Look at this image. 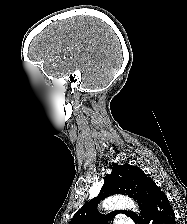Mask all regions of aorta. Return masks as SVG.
I'll list each match as a JSON object with an SVG mask.
<instances>
[{
    "mask_svg": "<svg viewBox=\"0 0 187 224\" xmlns=\"http://www.w3.org/2000/svg\"><path fill=\"white\" fill-rule=\"evenodd\" d=\"M104 210H116V209H129L135 212L138 211V207L134 201L127 196H113L105 199L101 204Z\"/></svg>",
    "mask_w": 187,
    "mask_h": 224,
    "instance_id": "aorta-1",
    "label": "aorta"
}]
</instances>
